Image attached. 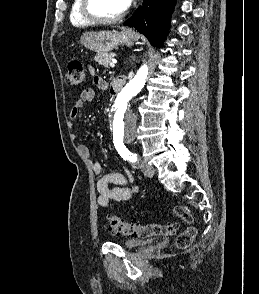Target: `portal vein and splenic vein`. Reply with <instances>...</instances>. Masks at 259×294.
I'll return each mask as SVG.
<instances>
[{
  "instance_id": "1",
  "label": "portal vein and splenic vein",
  "mask_w": 259,
  "mask_h": 294,
  "mask_svg": "<svg viewBox=\"0 0 259 294\" xmlns=\"http://www.w3.org/2000/svg\"><path fill=\"white\" fill-rule=\"evenodd\" d=\"M117 63V61L113 60L111 63H110V66L111 67H115V64Z\"/></svg>"
}]
</instances>
